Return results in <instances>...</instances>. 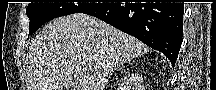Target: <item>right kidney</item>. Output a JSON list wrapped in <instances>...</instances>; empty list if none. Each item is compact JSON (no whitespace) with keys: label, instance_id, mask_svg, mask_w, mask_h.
<instances>
[{"label":"right kidney","instance_id":"obj_1","mask_svg":"<svg viewBox=\"0 0 216 90\" xmlns=\"http://www.w3.org/2000/svg\"><path fill=\"white\" fill-rule=\"evenodd\" d=\"M135 80H136V84H141V82H143V78H138V80L137 78H135Z\"/></svg>","mask_w":216,"mask_h":90}]
</instances>
